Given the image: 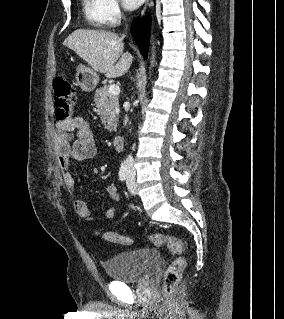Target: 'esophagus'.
<instances>
[{
	"label": "esophagus",
	"instance_id": "1",
	"mask_svg": "<svg viewBox=\"0 0 284 319\" xmlns=\"http://www.w3.org/2000/svg\"><path fill=\"white\" fill-rule=\"evenodd\" d=\"M148 4H149V0H146L145 5H144V7H143V9H142V11H141V15H144V13L146 12V9H147V7H148Z\"/></svg>",
	"mask_w": 284,
	"mask_h": 319
}]
</instances>
